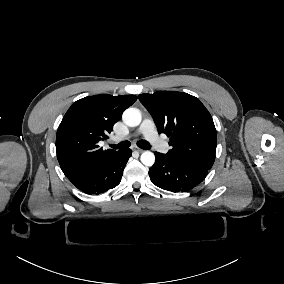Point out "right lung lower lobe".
<instances>
[{"label": "right lung lower lobe", "mask_w": 284, "mask_h": 284, "mask_svg": "<svg viewBox=\"0 0 284 284\" xmlns=\"http://www.w3.org/2000/svg\"><path fill=\"white\" fill-rule=\"evenodd\" d=\"M131 154L130 149L118 151L76 187L89 195H98L116 187L121 181L123 170Z\"/></svg>", "instance_id": "right-lung-lower-lobe-1"}]
</instances>
